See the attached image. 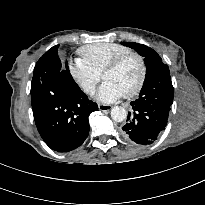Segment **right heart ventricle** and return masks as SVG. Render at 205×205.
Masks as SVG:
<instances>
[{
  "instance_id": "right-heart-ventricle-1",
  "label": "right heart ventricle",
  "mask_w": 205,
  "mask_h": 205,
  "mask_svg": "<svg viewBox=\"0 0 205 205\" xmlns=\"http://www.w3.org/2000/svg\"><path fill=\"white\" fill-rule=\"evenodd\" d=\"M130 49L119 43L88 44L79 49L81 59L97 73L101 74L104 67L117 56L129 52Z\"/></svg>"
}]
</instances>
